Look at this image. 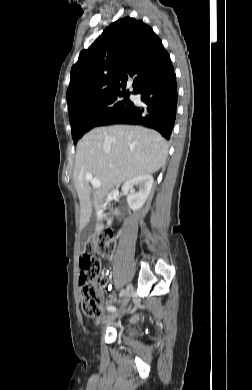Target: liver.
<instances>
[{
  "mask_svg": "<svg viewBox=\"0 0 252 390\" xmlns=\"http://www.w3.org/2000/svg\"><path fill=\"white\" fill-rule=\"evenodd\" d=\"M167 153L166 140L140 126L99 127L85 134L77 144L73 172L81 206L80 229L90 221L94 207L99 235L104 228L103 200L108 192L137 176L157 172L165 164ZM88 173L100 181L99 188L90 186L85 179Z\"/></svg>",
  "mask_w": 252,
  "mask_h": 390,
  "instance_id": "1",
  "label": "liver"
}]
</instances>
